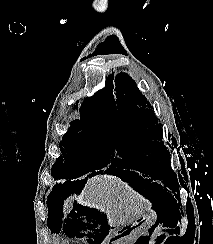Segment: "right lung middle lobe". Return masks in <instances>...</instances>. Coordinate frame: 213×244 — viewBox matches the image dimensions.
<instances>
[{"mask_svg": "<svg viewBox=\"0 0 213 244\" xmlns=\"http://www.w3.org/2000/svg\"><path fill=\"white\" fill-rule=\"evenodd\" d=\"M80 112V119L70 123L59 145L63 156H60L52 167V175L56 179L69 178L70 180L91 169L107 166L109 163H111L109 168L121 166L115 154L116 152L119 154L122 150L119 154L122 156L125 147L110 142L108 115Z\"/></svg>", "mask_w": 213, "mask_h": 244, "instance_id": "dd1d6c3e", "label": "right lung middle lobe"}]
</instances>
